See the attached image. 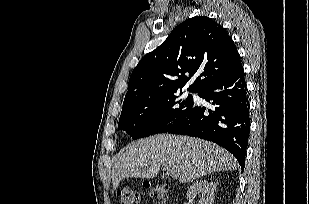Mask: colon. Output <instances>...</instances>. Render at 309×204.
I'll list each match as a JSON object with an SVG mask.
<instances>
[{
  "label": "colon",
  "mask_w": 309,
  "mask_h": 204,
  "mask_svg": "<svg viewBox=\"0 0 309 204\" xmlns=\"http://www.w3.org/2000/svg\"><path fill=\"white\" fill-rule=\"evenodd\" d=\"M147 188L150 195L154 194L163 195L164 193L167 192L168 189L167 185L165 184L156 186L154 188L148 186ZM118 197L120 199L121 204H136L140 200V195L137 192V190L130 187L120 189L118 191Z\"/></svg>",
  "instance_id": "colon-1"
}]
</instances>
